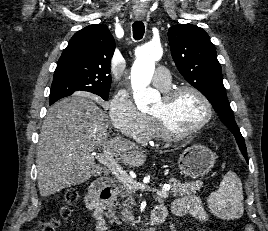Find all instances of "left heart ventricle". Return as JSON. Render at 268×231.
<instances>
[{
	"instance_id": "obj_1",
	"label": "left heart ventricle",
	"mask_w": 268,
	"mask_h": 231,
	"mask_svg": "<svg viewBox=\"0 0 268 231\" xmlns=\"http://www.w3.org/2000/svg\"><path fill=\"white\" fill-rule=\"evenodd\" d=\"M163 111L162 98L154 105L150 114ZM205 107L202 101L190 92H183L175 98L167 109L168 121L171 128L178 133L195 127L204 117Z\"/></svg>"
}]
</instances>
